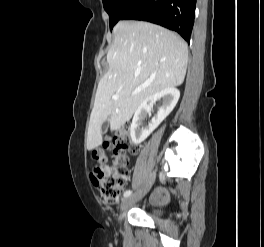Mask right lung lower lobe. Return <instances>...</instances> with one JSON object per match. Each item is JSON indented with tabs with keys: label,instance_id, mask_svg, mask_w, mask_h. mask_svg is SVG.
Masks as SVG:
<instances>
[{
	"label": "right lung lower lobe",
	"instance_id": "98d812e1",
	"mask_svg": "<svg viewBox=\"0 0 264 247\" xmlns=\"http://www.w3.org/2000/svg\"><path fill=\"white\" fill-rule=\"evenodd\" d=\"M196 0H133L121 20H143L178 32L187 42L194 24Z\"/></svg>",
	"mask_w": 264,
	"mask_h": 247
}]
</instances>
